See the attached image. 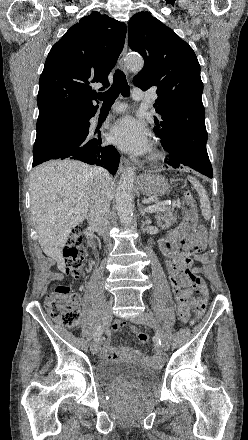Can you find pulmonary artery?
I'll return each instance as SVG.
<instances>
[{
  "instance_id": "obj_1",
  "label": "pulmonary artery",
  "mask_w": 248,
  "mask_h": 440,
  "mask_svg": "<svg viewBox=\"0 0 248 440\" xmlns=\"http://www.w3.org/2000/svg\"><path fill=\"white\" fill-rule=\"evenodd\" d=\"M144 96H145V94L141 89L135 88L133 90V98L135 100H142V99H144ZM114 110H115V112H122L125 110V107H124V105H119V106H116Z\"/></svg>"
}]
</instances>
